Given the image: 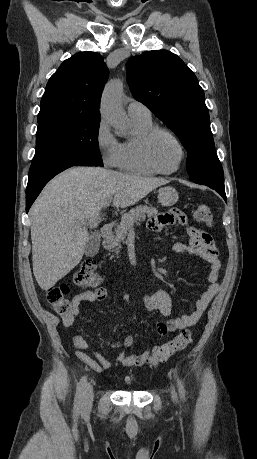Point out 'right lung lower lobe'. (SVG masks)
<instances>
[{
    "instance_id": "98d812e1",
    "label": "right lung lower lobe",
    "mask_w": 257,
    "mask_h": 459,
    "mask_svg": "<svg viewBox=\"0 0 257 459\" xmlns=\"http://www.w3.org/2000/svg\"><path fill=\"white\" fill-rule=\"evenodd\" d=\"M100 166L94 161L81 156H60L32 162L26 188V212L49 180L72 166Z\"/></svg>"
}]
</instances>
